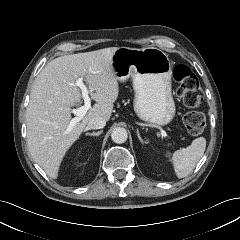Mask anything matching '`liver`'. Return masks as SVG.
I'll use <instances>...</instances> for the list:
<instances>
[{
  "mask_svg": "<svg viewBox=\"0 0 240 240\" xmlns=\"http://www.w3.org/2000/svg\"><path fill=\"white\" fill-rule=\"evenodd\" d=\"M117 47L65 55L49 62L34 81L26 110L27 144L34 161L53 179L58 177L60 164L74 142L97 116L108 121L119 86L112 67ZM83 78L96 101L87 114L68 127L72 105L81 103L80 89L75 85Z\"/></svg>",
  "mask_w": 240,
  "mask_h": 240,
  "instance_id": "1",
  "label": "liver"
}]
</instances>
